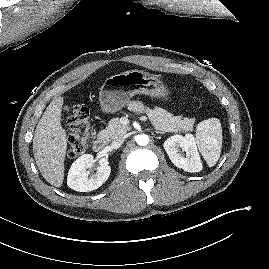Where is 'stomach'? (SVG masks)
Wrapping results in <instances>:
<instances>
[{
  "label": "stomach",
  "instance_id": "stomach-1",
  "mask_svg": "<svg viewBox=\"0 0 269 269\" xmlns=\"http://www.w3.org/2000/svg\"><path fill=\"white\" fill-rule=\"evenodd\" d=\"M169 90L163 80L142 70H130L107 78L100 89L103 112L115 113L127 105L135 94L167 101Z\"/></svg>",
  "mask_w": 269,
  "mask_h": 269
}]
</instances>
